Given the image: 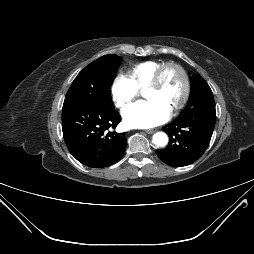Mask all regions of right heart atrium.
<instances>
[{
	"label": "right heart atrium",
	"instance_id": "1",
	"mask_svg": "<svg viewBox=\"0 0 254 254\" xmlns=\"http://www.w3.org/2000/svg\"><path fill=\"white\" fill-rule=\"evenodd\" d=\"M140 94V90L126 75L116 76L111 85V95L115 105L122 108Z\"/></svg>",
	"mask_w": 254,
	"mask_h": 254
}]
</instances>
